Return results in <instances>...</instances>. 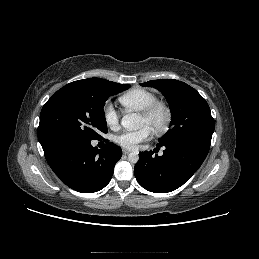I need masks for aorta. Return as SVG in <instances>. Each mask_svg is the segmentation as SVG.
Segmentation results:
<instances>
[{
  "label": "aorta",
  "mask_w": 259,
  "mask_h": 259,
  "mask_svg": "<svg viewBox=\"0 0 259 259\" xmlns=\"http://www.w3.org/2000/svg\"><path fill=\"white\" fill-rule=\"evenodd\" d=\"M121 125L129 130H137L141 127V117L140 115L136 114V113H129L123 116L122 120H121ZM128 160L131 163H137L139 160V155L137 152H131L128 155Z\"/></svg>",
  "instance_id": "obj_1"
}]
</instances>
